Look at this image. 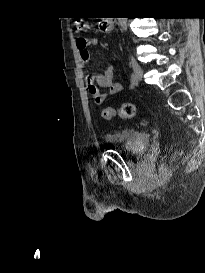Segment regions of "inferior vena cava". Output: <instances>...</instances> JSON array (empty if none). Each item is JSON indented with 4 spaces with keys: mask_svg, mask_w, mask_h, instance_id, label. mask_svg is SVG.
<instances>
[{
    "mask_svg": "<svg viewBox=\"0 0 205 273\" xmlns=\"http://www.w3.org/2000/svg\"><path fill=\"white\" fill-rule=\"evenodd\" d=\"M119 23L122 27V30L127 29V18H119Z\"/></svg>",
    "mask_w": 205,
    "mask_h": 273,
    "instance_id": "obj_1",
    "label": "inferior vena cava"
}]
</instances>
